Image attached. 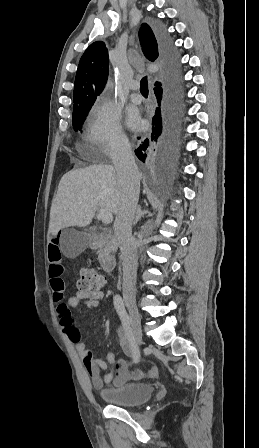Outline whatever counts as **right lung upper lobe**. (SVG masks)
I'll return each instance as SVG.
<instances>
[{
	"label": "right lung upper lobe",
	"mask_w": 259,
	"mask_h": 448,
	"mask_svg": "<svg viewBox=\"0 0 259 448\" xmlns=\"http://www.w3.org/2000/svg\"><path fill=\"white\" fill-rule=\"evenodd\" d=\"M139 39L143 53L150 61L160 59L159 42L151 27L143 23L139 30ZM109 58L105 43H92L82 55L75 77L73 110L90 108L97 96L103 91L108 77ZM156 82L155 86H160Z\"/></svg>",
	"instance_id": "1"
}]
</instances>
